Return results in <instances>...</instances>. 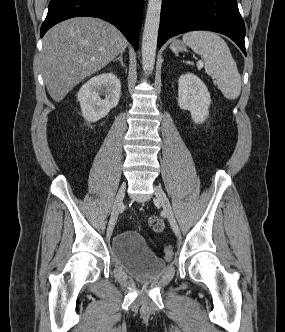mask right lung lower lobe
Masks as SVG:
<instances>
[{
    "label": "right lung lower lobe",
    "mask_w": 285,
    "mask_h": 332,
    "mask_svg": "<svg viewBox=\"0 0 285 332\" xmlns=\"http://www.w3.org/2000/svg\"><path fill=\"white\" fill-rule=\"evenodd\" d=\"M142 13L143 0H51L40 35L68 18L91 16L116 26L137 50Z\"/></svg>",
    "instance_id": "98d812e1"
}]
</instances>
